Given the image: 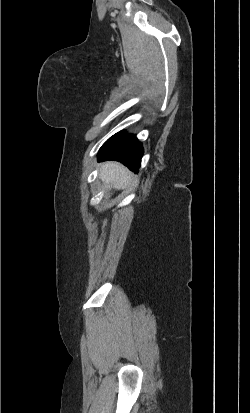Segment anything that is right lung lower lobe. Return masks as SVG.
Returning a JSON list of instances; mask_svg holds the SVG:
<instances>
[{
    "label": "right lung lower lobe",
    "mask_w": 250,
    "mask_h": 413,
    "mask_svg": "<svg viewBox=\"0 0 250 413\" xmlns=\"http://www.w3.org/2000/svg\"><path fill=\"white\" fill-rule=\"evenodd\" d=\"M143 155L142 144L133 135L120 132L112 136L100 149L98 161L116 160L131 171L138 172Z\"/></svg>",
    "instance_id": "1"
}]
</instances>
